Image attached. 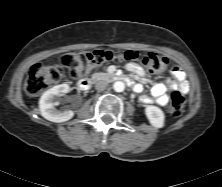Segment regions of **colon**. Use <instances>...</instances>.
<instances>
[{"instance_id": "obj_1", "label": "colon", "mask_w": 222, "mask_h": 187, "mask_svg": "<svg viewBox=\"0 0 222 187\" xmlns=\"http://www.w3.org/2000/svg\"><path fill=\"white\" fill-rule=\"evenodd\" d=\"M114 61L141 64L152 74H159L165 71L169 65L167 58L153 52L126 51L118 53L110 50H94L66 53L61 57L60 65H34L26 78L25 92L30 97L38 96L45 89L58 84L66 74L74 80L87 79L103 65ZM185 105V95L178 90L173 91L171 94L170 113L173 116H180L184 111Z\"/></svg>"}]
</instances>
